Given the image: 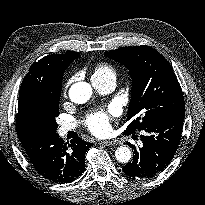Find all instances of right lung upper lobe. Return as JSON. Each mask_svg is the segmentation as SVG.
Instances as JSON below:
<instances>
[{"instance_id": "obj_1", "label": "right lung upper lobe", "mask_w": 205, "mask_h": 205, "mask_svg": "<svg viewBox=\"0 0 205 205\" xmlns=\"http://www.w3.org/2000/svg\"><path fill=\"white\" fill-rule=\"evenodd\" d=\"M79 57L76 52L68 51L66 54H51L43 57L37 62H34L29 69V72L24 77L19 92V102L24 92L33 89H52L60 79L68 65ZM19 102L18 114L16 122V130L19 139L25 138L29 135L36 134L37 132L30 129L20 118L19 115Z\"/></svg>"}]
</instances>
